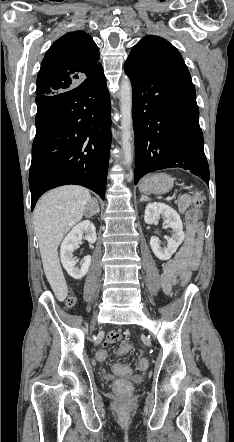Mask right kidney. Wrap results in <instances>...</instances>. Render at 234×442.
<instances>
[{
  "label": "right kidney",
  "instance_id": "1",
  "mask_svg": "<svg viewBox=\"0 0 234 442\" xmlns=\"http://www.w3.org/2000/svg\"><path fill=\"white\" fill-rule=\"evenodd\" d=\"M86 234L85 239L90 243H95L96 229L90 220H84L73 227L61 244L60 258L64 269L74 279H82L88 272L91 263V256H85L80 267L76 266L77 261L73 258V252L79 247V241Z\"/></svg>",
  "mask_w": 234,
  "mask_h": 442
}]
</instances>
